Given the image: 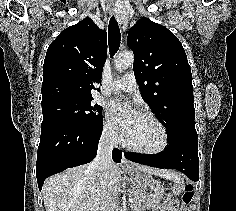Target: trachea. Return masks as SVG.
<instances>
[{
	"mask_svg": "<svg viewBox=\"0 0 236 211\" xmlns=\"http://www.w3.org/2000/svg\"><path fill=\"white\" fill-rule=\"evenodd\" d=\"M120 43H121L120 29L115 17L112 16L109 20V26H108V44L111 56H114L117 53V51L119 50Z\"/></svg>",
	"mask_w": 236,
	"mask_h": 211,
	"instance_id": "3493384b",
	"label": "trachea"
}]
</instances>
